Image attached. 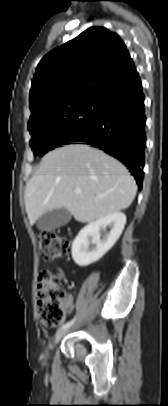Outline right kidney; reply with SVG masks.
I'll use <instances>...</instances> for the list:
<instances>
[{
  "label": "right kidney",
  "instance_id": "ca27d5eb",
  "mask_svg": "<svg viewBox=\"0 0 168 406\" xmlns=\"http://www.w3.org/2000/svg\"><path fill=\"white\" fill-rule=\"evenodd\" d=\"M126 224L122 212H114L89 223L75 238L72 244V258L79 266H88L102 258L116 243ZM110 227V232L101 239L100 230ZM89 237H92L91 242ZM90 244L93 246L90 248Z\"/></svg>",
  "mask_w": 168,
  "mask_h": 406
}]
</instances>
